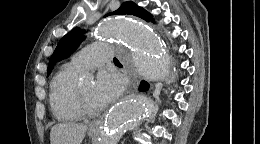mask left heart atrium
<instances>
[{"label": "left heart atrium", "mask_w": 260, "mask_h": 144, "mask_svg": "<svg viewBox=\"0 0 260 144\" xmlns=\"http://www.w3.org/2000/svg\"><path fill=\"white\" fill-rule=\"evenodd\" d=\"M123 90V81L115 72H102L94 87V99L99 107L114 101Z\"/></svg>", "instance_id": "39dd6f15"}]
</instances>
